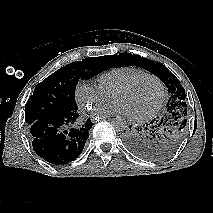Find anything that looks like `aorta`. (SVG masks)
Listing matches in <instances>:
<instances>
[{"mask_svg": "<svg viewBox=\"0 0 213 213\" xmlns=\"http://www.w3.org/2000/svg\"><path fill=\"white\" fill-rule=\"evenodd\" d=\"M112 125L117 132H123L124 130H127L128 128L127 121L121 116L116 117L112 121Z\"/></svg>", "mask_w": 213, "mask_h": 213, "instance_id": "aorta-1", "label": "aorta"}]
</instances>
